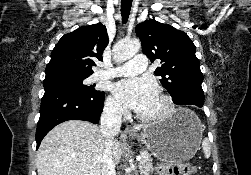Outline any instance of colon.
I'll list each match as a JSON object with an SVG mask.
<instances>
[{"instance_id": "5ec220e1", "label": "colon", "mask_w": 251, "mask_h": 175, "mask_svg": "<svg viewBox=\"0 0 251 175\" xmlns=\"http://www.w3.org/2000/svg\"><path fill=\"white\" fill-rule=\"evenodd\" d=\"M196 167L183 161H163L157 164L158 175H193Z\"/></svg>"}]
</instances>
